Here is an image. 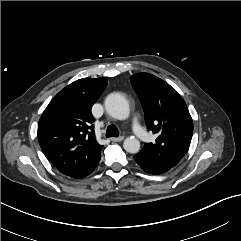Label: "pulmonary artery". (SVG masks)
Listing matches in <instances>:
<instances>
[{
  "instance_id": "1",
  "label": "pulmonary artery",
  "mask_w": 241,
  "mask_h": 241,
  "mask_svg": "<svg viewBox=\"0 0 241 241\" xmlns=\"http://www.w3.org/2000/svg\"><path fill=\"white\" fill-rule=\"evenodd\" d=\"M131 126L136 138L142 142H146L148 139V134L146 130L142 127L137 116L133 117L131 121Z\"/></svg>"
}]
</instances>
